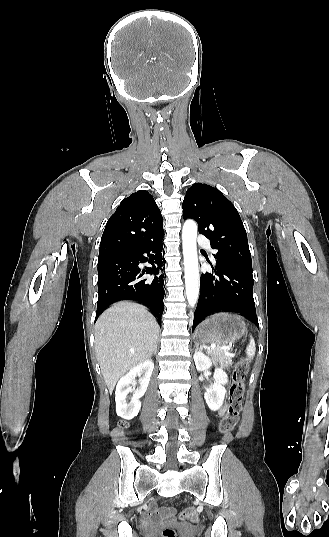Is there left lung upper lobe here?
Returning <instances> with one entry per match:
<instances>
[{
  "label": "left lung upper lobe",
  "mask_w": 329,
  "mask_h": 537,
  "mask_svg": "<svg viewBox=\"0 0 329 537\" xmlns=\"http://www.w3.org/2000/svg\"><path fill=\"white\" fill-rule=\"evenodd\" d=\"M183 217L196 220L199 233L217 250L215 260L252 271L247 234L234 205L218 189L201 183L186 192Z\"/></svg>",
  "instance_id": "obj_1"
}]
</instances>
